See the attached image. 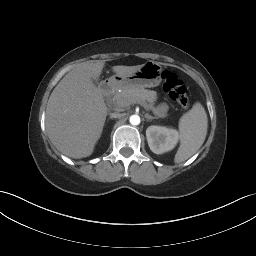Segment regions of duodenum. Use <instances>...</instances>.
<instances>
[{
    "mask_svg": "<svg viewBox=\"0 0 256 256\" xmlns=\"http://www.w3.org/2000/svg\"><path fill=\"white\" fill-rule=\"evenodd\" d=\"M115 88L113 81H105L99 86V91L102 96H106L111 93Z\"/></svg>",
    "mask_w": 256,
    "mask_h": 256,
    "instance_id": "duodenum-1",
    "label": "duodenum"
}]
</instances>
